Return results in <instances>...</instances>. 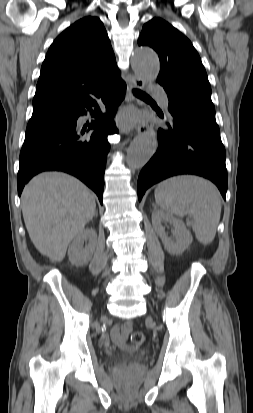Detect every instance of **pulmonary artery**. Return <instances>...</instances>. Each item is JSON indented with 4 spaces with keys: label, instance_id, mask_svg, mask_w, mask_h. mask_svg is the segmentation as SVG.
Masks as SVG:
<instances>
[{
    "label": "pulmonary artery",
    "instance_id": "e3ab8cb5",
    "mask_svg": "<svg viewBox=\"0 0 253 413\" xmlns=\"http://www.w3.org/2000/svg\"><path fill=\"white\" fill-rule=\"evenodd\" d=\"M150 92L158 98L162 108L167 110L168 105H169V100H168V97H167L166 93L164 92V90L160 87L153 86V87L150 88Z\"/></svg>",
    "mask_w": 253,
    "mask_h": 413
}]
</instances>
